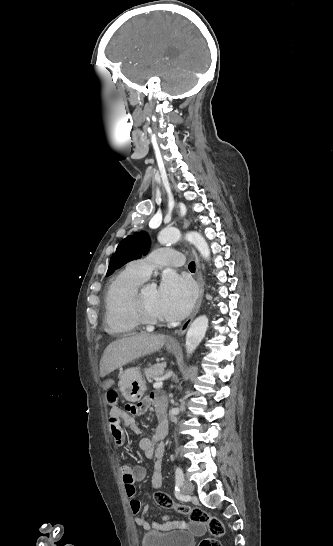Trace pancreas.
<instances>
[{"instance_id":"obj_1","label":"pancreas","mask_w":333,"mask_h":546,"mask_svg":"<svg viewBox=\"0 0 333 546\" xmlns=\"http://www.w3.org/2000/svg\"><path fill=\"white\" fill-rule=\"evenodd\" d=\"M165 367H166V363L156 364V365L148 367L145 370L146 378L148 380H151L152 378H155V377H162L165 373Z\"/></svg>"}]
</instances>
